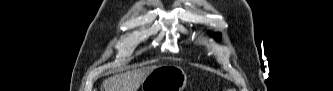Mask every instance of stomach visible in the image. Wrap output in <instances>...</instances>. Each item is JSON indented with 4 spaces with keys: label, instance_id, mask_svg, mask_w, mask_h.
I'll return each mask as SVG.
<instances>
[{
    "label": "stomach",
    "instance_id": "1",
    "mask_svg": "<svg viewBox=\"0 0 333 91\" xmlns=\"http://www.w3.org/2000/svg\"><path fill=\"white\" fill-rule=\"evenodd\" d=\"M187 83L184 70L176 65L154 69L141 83V91H183Z\"/></svg>",
    "mask_w": 333,
    "mask_h": 91
}]
</instances>
